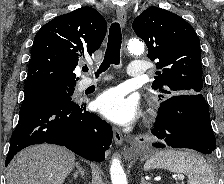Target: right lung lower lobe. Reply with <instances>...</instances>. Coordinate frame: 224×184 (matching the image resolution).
Returning a JSON list of instances; mask_svg holds the SVG:
<instances>
[{
    "label": "right lung lower lobe",
    "instance_id": "obj_1",
    "mask_svg": "<svg viewBox=\"0 0 224 184\" xmlns=\"http://www.w3.org/2000/svg\"><path fill=\"white\" fill-rule=\"evenodd\" d=\"M112 141V128L72 99L47 97L21 107L10 139L7 166L25 147L40 143L65 146L91 161L104 160Z\"/></svg>",
    "mask_w": 224,
    "mask_h": 184
}]
</instances>
